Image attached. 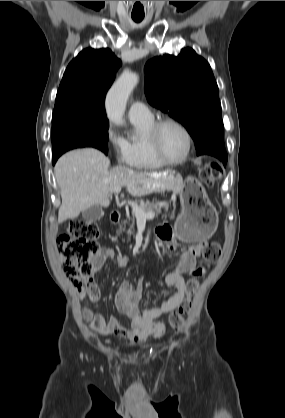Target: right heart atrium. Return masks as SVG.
Masks as SVG:
<instances>
[{
  "label": "right heart atrium",
  "mask_w": 285,
  "mask_h": 418,
  "mask_svg": "<svg viewBox=\"0 0 285 418\" xmlns=\"http://www.w3.org/2000/svg\"><path fill=\"white\" fill-rule=\"evenodd\" d=\"M106 143L113 152L116 161L121 165H129V151L124 139L111 126L106 130Z\"/></svg>",
  "instance_id": "1"
}]
</instances>
